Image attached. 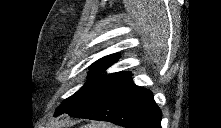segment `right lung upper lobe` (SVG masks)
Returning a JSON list of instances; mask_svg holds the SVG:
<instances>
[{"label": "right lung upper lobe", "mask_w": 221, "mask_h": 128, "mask_svg": "<svg viewBox=\"0 0 221 128\" xmlns=\"http://www.w3.org/2000/svg\"><path fill=\"white\" fill-rule=\"evenodd\" d=\"M119 58L118 54H112V55H108L105 56L101 59H99L98 61H96L95 63H93L90 66V70L91 71H96V72H104L110 65H112L113 63H115ZM110 75H114V76H126V77H131V73L129 72H117V73H113Z\"/></svg>", "instance_id": "1"}]
</instances>
